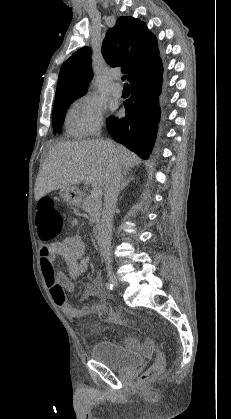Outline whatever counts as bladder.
<instances>
[{
  "instance_id": "obj_1",
  "label": "bladder",
  "mask_w": 231,
  "mask_h": 419,
  "mask_svg": "<svg viewBox=\"0 0 231 419\" xmlns=\"http://www.w3.org/2000/svg\"><path fill=\"white\" fill-rule=\"evenodd\" d=\"M91 357L118 373H127L144 363L142 354L131 352L109 340L97 341L91 348Z\"/></svg>"
}]
</instances>
